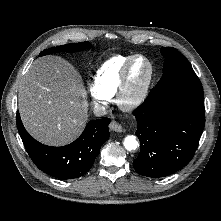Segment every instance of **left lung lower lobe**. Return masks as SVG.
<instances>
[{
  "instance_id": "1",
  "label": "left lung lower lobe",
  "mask_w": 221,
  "mask_h": 221,
  "mask_svg": "<svg viewBox=\"0 0 221 221\" xmlns=\"http://www.w3.org/2000/svg\"><path fill=\"white\" fill-rule=\"evenodd\" d=\"M140 154L133 162L140 175L168 176L194 156L205 124L203 88L196 75L151 89L133 111Z\"/></svg>"
}]
</instances>
